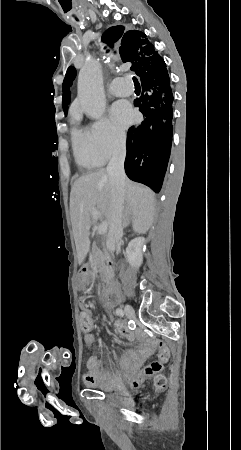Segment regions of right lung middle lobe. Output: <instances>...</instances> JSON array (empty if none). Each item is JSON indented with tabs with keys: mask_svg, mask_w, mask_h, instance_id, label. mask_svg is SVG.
<instances>
[{
	"mask_svg": "<svg viewBox=\"0 0 241 450\" xmlns=\"http://www.w3.org/2000/svg\"><path fill=\"white\" fill-rule=\"evenodd\" d=\"M74 78H75V76L70 77L68 79H64V82H63V101H62V103H63V110H64L65 115L67 114V109H68L67 105L70 102V96H71L69 87L72 85V81L74 80Z\"/></svg>",
	"mask_w": 241,
	"mask_h": 450,
	"instance_id": "dd1d6c3e",
	"label": "right lung middle lobe"
}]
</instances>
